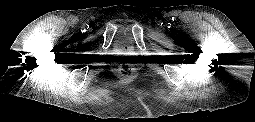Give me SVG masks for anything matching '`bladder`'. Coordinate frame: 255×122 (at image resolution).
I'll return each instance as SVG.
<instances>
[{
  "label": "bladder",
  "mask_w": 255,
  "mask_h": 122,
  "mask_svg": "<svg viewBox=\"0 0 255 122\" xmlns=\"http://www.w3.org/2000/svg\"><path fill=\"white\" fill-rule=\"evenodd\" d=\"M132 46V38L128 31H120L115 39V47L118 49H128Z\"/></svg>",
  "instance_id": "1"
}]
</instances>
